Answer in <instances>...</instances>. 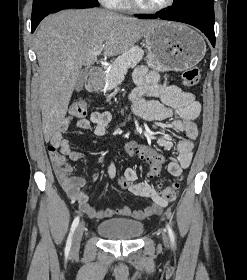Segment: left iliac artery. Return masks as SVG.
I'll list each match as a JSON object with an SVG mask.
<instances>
[{
  "instance_id": "44dca946",
  "label": "left iliac artery",
  "mask_w": 247,
  "mask_h": 280,
  "mask_svg": "<svg viewBox=\"0 0 247 280\" xmlns=\"http://www.w3.org/2000/svg\"><path fill=\"white\" fill-rule=\"evenodd\" d=\"M166 227H167V230H168V234H169V238H170L171 244L174 246L175 245V235H174V232H173V230H172V228L170 227L169 224H167Z\"/></svg>"
}]
</instances>
